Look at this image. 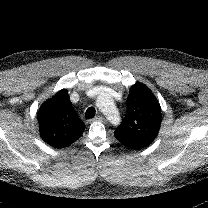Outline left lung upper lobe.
I'll list each match as a JSON object with an SVG mask.
<instances>
[{
  "mask_svg": "<svg viewBox=\"0 0 208 208\" xmlns=\"http://www.w3.org/2000/svg\"><path fill=\"white\" fill-rule=\"evenodd\" d=\"M161 107L151 90L141 83L134 84L127 98V111L115 138L131 149L149 145L158 135Z\"/></svg>",
  "mask_w": 208,
  "mask_h": 208,
  "instance_id": "1",
  "label": "left lung upper lobe"
}]
</instances>
